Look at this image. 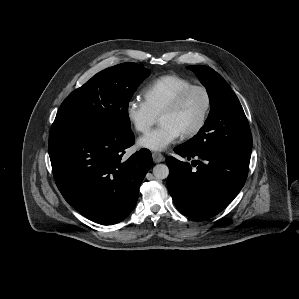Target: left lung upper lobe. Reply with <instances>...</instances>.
<instances>
[{
    "mask_svg": "<svg viewBox=\"0 0 299 299\" xmlns=\"http://www.w3.org/2000/svg\"><path fill=\"white\" fill-rule=\"evenodd\" d=\"M206 87L210 113L197 135L183 145L200 154L251 155L252 135L243 108L225 80L207 66H190Z\"/></svg>",
    "mask_w": 299,
    "mask_h": 299,
    "instance_id": "5c2ea615",
    "label": "left lung upper lobe"
}]
</instances>
